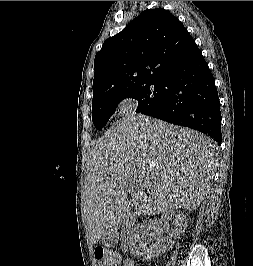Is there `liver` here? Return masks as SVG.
I'll return each mask as SVG.
<instances>
[{"label": "liver", "mask_w": 253, "mask_h": 266, "mask_svg": "<svg viewBox=\"0 0 253 266\" xmlns=\"http://www.w3.org/2000/svg\"><path fill=\"white\" fill-rule=\"evenodd\" d=\"M216 143L208 136L158 119L131 115L117 121L88 157L85 221L96 244L135 215L174 208L196 210L208 193ZM130 178L143 189L127 198Z\"/></svg>", "instance_id": "obj_1"}]
</instances>
